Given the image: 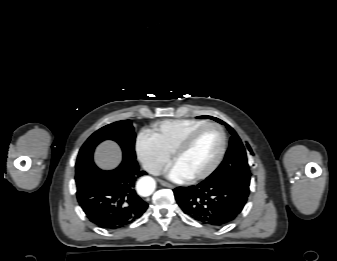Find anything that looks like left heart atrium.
<instances>
[{
    "label": "left heart atrium",
    "instance_id": "obj_1",
    "mask_svg": "<svg viewBox=\"0 0 337 261\" xmlns=\"http://www.w3.org/2000/svg\"><path fill=\"white\" fill-rule=\"evenodd\" d=\"M166 173L171 180L176 182H181L189 178V176L184 173L175 163L167 169Z\"/></svg>",
    "mask_w": 337,
    "mask_h": 261
}]
</instances>
